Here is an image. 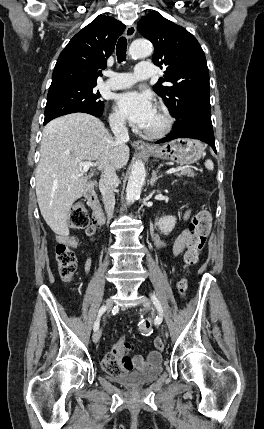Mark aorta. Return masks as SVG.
<instances>
[{"label":"aorta","instance_id":"1","mask_svg":"<svg viewBox=\"0 0 264 429\" xmlns=\"http://www.w3.org/2000/svg\"><path fill=\"white\" fill-rule=\"evenodd\" d=\"M153 47L147 40L138 39L132 42L129 55L132 59L145 58L152 54ZM145 166L141 161L133 164L131 174L126 188V200L128 203H133L141 194L142 187L145 181Z\"/></svg>","mask_w":264,"mask_h":429}]
</instances>
